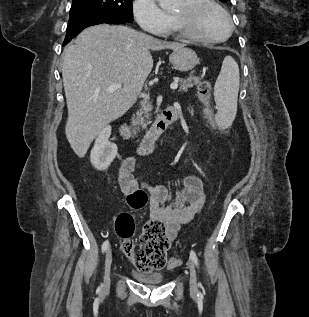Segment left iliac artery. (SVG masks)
Returning <instances> with one entry per match:
<instances>
[{
    "label": "left iliac artery",
    "instance_id": "44dca946",
    "mask_svg": "<svg viewBox=\"0 0 309 317\" xmlns=\"http://www.w3.org/2000/svg\"><path fill=\"white\" fill-rule=\"evenodd\" d=\"M190 257H191L192 261L194 262V264L196 265V267L198 268L199 262H198V258H197L195 251L191 250Z\"/></svg>",
    "mask_w": 309,
    "mask_h": 317
}]
</instances>
